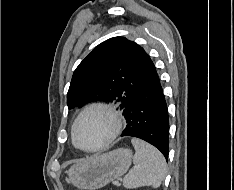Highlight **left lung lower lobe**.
<instances>
[{
  "label": "left lung lower lobe",
  "instance_id": "left-lung-lower-lobe-1",
  "mask_svg": "<svg viewBox=\"0 0 234 190\" xmlns=\"http://www.w3.org/2000/svg\"><path fill=\"white\" fill-rule=\"evenodd\" d=\"M148 76L124 114L127 126L121 136L137 137L154 145L167 159L169 154L168 110L155 66L146 54Z\"/></svg>",
  "mask_w": 234,
  "mask_h": 190
}]
</instances>
